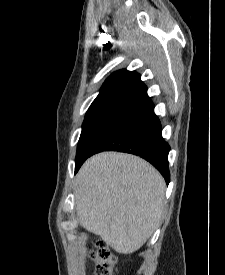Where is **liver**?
<instances>
[{
    "label": "liver",
    "mask_w": 225,
    "mask_h": 275,
    "mask_svg": "<svg viewBox=\"0 0 225 275\" xmlns=\"http://www.w3.org/2000/svg\"><path fill=\"white\" fill-rule=\"evenodd\" d=\"M165 189L161 174L145 160L125 153H99L76 176L79 223L115 251L130 254L160 224Z\"/></svg>",
    "instance_id": "liver-1"
}]
</instances>
